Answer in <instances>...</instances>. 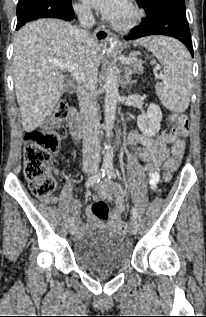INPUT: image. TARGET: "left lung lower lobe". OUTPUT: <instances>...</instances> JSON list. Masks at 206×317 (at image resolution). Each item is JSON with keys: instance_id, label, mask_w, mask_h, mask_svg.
<instances>
[{"instance_id": "1", "label": "left lung lower lobe", "mask_w": 206, "mask_h": 317, "mask_svg": "<svg viewBox=\"0 0 206 317\" xmlns=\"http://www.w3.org/2000/svg\"><path fill=\"white\" fill-rule=\"evenodd\" d=\"M132 34L124 36L132 40L148 35H166L183 42L193 56V47L186 16L176 13H159L146 18L132 30Z\"/></svg>"}]
</instances>
